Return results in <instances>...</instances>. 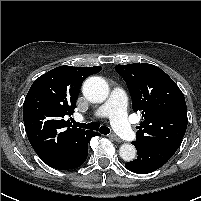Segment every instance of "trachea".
Masks as SVG:
<instances>
[{
    "label": "trachea",
    "mask_w": 201,
    "mask_h": 201,
    "mask_svg": "<svg viewBox=\"0 0 201 201\" xmlns=\"http://www.w3.org/2000/svg\"><path fill=\"white\" fill-rule=\"evenodd\" d=\"M73 124L79 128L90 129V130H99V132L104 135H107L110 133V129L108 127L101 126L99 128V124L96 122H91V123L85 124V123H77V122L73 121Z\"/></svg>",
    "instance_id": "1"
}]
</instances>
